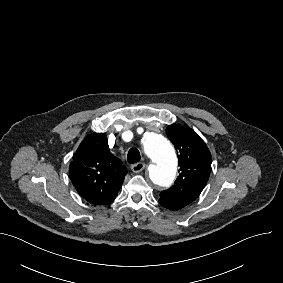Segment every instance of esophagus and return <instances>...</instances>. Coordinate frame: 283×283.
I'll use <instances>...</instances> for the list:
<instances>
[{"label":"esophagus","instance_id":"obj_1","mask_svg":"<svg viewBox=\"0 0 283 283\" xmlns=\"http://www.w3.org/2000/svg\"><path fill=\"white\" fill-rule=\"evenodd\" d=\"M146 167V164L143 162L135 163L131 166V170L135 173L141 172Z\"/></svg>","mask_w":283,"mask_h":283}]
</instances>
